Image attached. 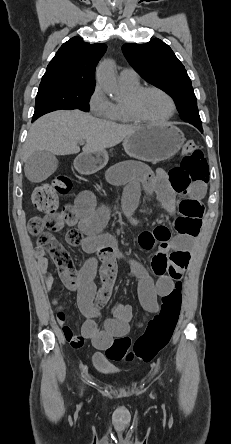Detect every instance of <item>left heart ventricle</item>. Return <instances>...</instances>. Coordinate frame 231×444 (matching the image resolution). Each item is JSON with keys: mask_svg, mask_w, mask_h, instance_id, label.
<instances>
[{"mask_svg": "<svg viewBox=\"0 0 231 444\" xmlns=\"http://www.w3.org/2000/svg\"><path fill=\"white\" fill-rule=\"evenodd\" d=\"M138 110L146 119L160 120L170 113L171 107L165 96L156 91H148L140 98Z\"/></svg>", "mask_w": 231, "mask_h": 444, "instance_id": "obj_1", "label": "left heart ventricle"}]
</instances>
